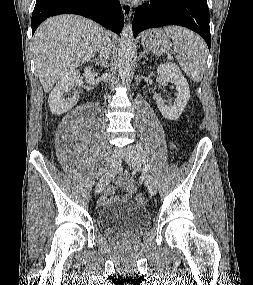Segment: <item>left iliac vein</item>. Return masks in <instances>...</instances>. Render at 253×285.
I'll list each match as a JSON object with an SVG mask.
<instances>
[{
	"instance_id": "obj_1",
	"label": "left iliac vein",
	"mask_w": 253,
	"mask_h": 285,
	"mask_svg": "<svg viewBox=\"0 0 253 285\" xmlns=\"http://www.w3.org/2000/svg\"><path fill=\"white\" fill-rule=\"evenodd\" d=\"M124 159L128 163V165L134 170L139 171L141 167V156L138 152V149L134 145H129L124 150ZM143 175L145 178V183L148 188L150 195L154 196L157 191L156 182L153 176L146 171H143Z\"/></svg>"
}]
</instances>
